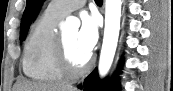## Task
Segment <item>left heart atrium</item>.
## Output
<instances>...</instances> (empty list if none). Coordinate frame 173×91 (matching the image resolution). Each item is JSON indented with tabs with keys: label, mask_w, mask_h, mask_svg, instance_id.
Masks as SVG:
<instances>
[{
	"label": "left heart atrium",
	"mask_w": 173,
	"mask_h": 91,
	"mask_svg": "<svg viewBox=\"0 0 173 91\" xmlns=\"http://www.w3.org/2000/svg\"><path fill=\"white\" fill-rule=\"evenodd\" d=\"M98 41V23L95 15L84 14L77 34V46L86 56H90Z\"/></svg>",
	"instance_id": "39dd6f15"
}]
</instances>
